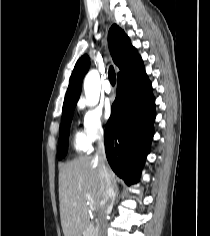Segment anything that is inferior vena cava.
Listing matches in <instances>:
<instances>
[{"label":"inferior vena cava","mask_w":210,"mask_h":236,"mask_svg":"<svg viewBox=\"0 0 210 236\" xmlns=\"http://www.w3.org/2000/svg\"><path fill=\"white\" fill-rule=\"evenodd\" d=\"M95 160L98 163L101 175L102 200L100 203L98 236H106L107 234V218L106 215L111 213L116 192L114 183L108 167L106 166V155L104 150L103 139L99 140L96 150Z\"/></svg>","instance_id":"obj_1"}]
</instances>
